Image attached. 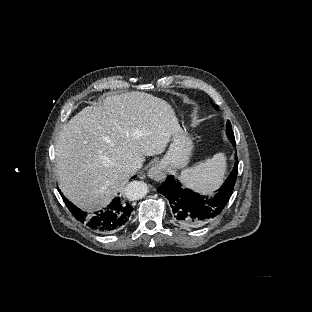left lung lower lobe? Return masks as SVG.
I'll return each instance as SVG.
<instances>
[{
    "label": "left lung lower lobe",
    "mask_w": 312,
    "mask_h": 312,
    "mask_svg": "<svg viewBox=\"0 0 312 312\" xmlns=\"http://www.w3.org/2000/svg\"><path fill=\"white\" fill-rule=\"evenodd\" d=\"M235 144V141H232ZM238 160L232 174L214 197H208L183 188L182 185L168 176L158 188L170 203L171 217L179 224L190 228L200 229L217 217L231 197L237 178Z\"/></svg>",
    "instance_id": "obj_1"
}]
</instances>
